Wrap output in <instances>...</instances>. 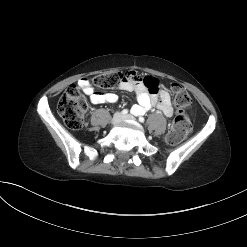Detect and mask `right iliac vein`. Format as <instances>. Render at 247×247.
<instances>
[{
	"instance_id": "right-iliac-vein-1",
	"label": "right iliac vein",
	"mask_w": 247,
	"mask_h": 247,
	"mask_svg": "<svg viewBox=\"0 0 247 247\" xmlns=\"http://www.w3.org/2000/svg\"><path fill=\"white\" fill-rule=\"evenodd\" d=\"M123 116L121 113L117 112L114 114L111 122L112 124H118L122 120Z\"/></svg>"
}]
</instances>
